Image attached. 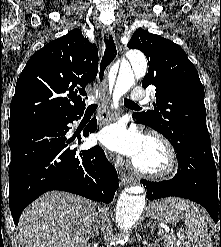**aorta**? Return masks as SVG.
<instances>
[{
	"label": "aorta",
	"mask_w": 221,
	"mask_h": 247,
	"mask_svg": "<svg viewBox=\"0 0 221 247\" xmlns=\"http://www.w3.org/2000/svg\"><path fill=\"white\" fill-rule=\"evenodd\" d=\"M128 59L126 70L130 77L143 76L147 70V61L145 56L138 51H129L126 54ZM118 73V67L115 66L109 75L110 87L113 86L115 77ZM145 206L144 195H130L123 192L117 202L116 224L120 230H129L140 218Z\"/></svg>",
	"instance_id": "obj_1"
}]
</instances>
